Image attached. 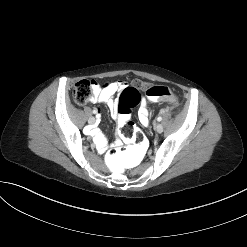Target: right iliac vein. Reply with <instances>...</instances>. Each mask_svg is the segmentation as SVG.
<instances>
[{"mask_svg":"<svg viewBox=\"0 0 247 247\" xmlns=\"http://www.w3.org/2000/svg\"><path fill=\"white\" fill-rule=\"evenodd\" d=\"M88 123L89 124H94L95 123V118L94 117H90L89 119H88Z\"/></svg>","mask_w":247,"mask_h":247,"instance_id":"1","label":"right iliac vein"}]
</instances>
